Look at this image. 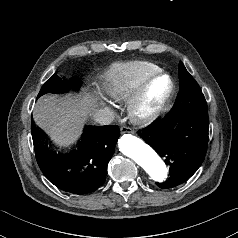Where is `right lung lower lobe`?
Returning <instances> with one entry per match:
<instances>
[{"instance_id":"right-lung-lower-lobe-1","label":"right lung lower lobe","mask_w":238,"mask_h":238,"mask_svg":"<svg viewBox=\"0 0 238 238\" xmlns=\"http://www.w3.org/2000/svg\"><path fill=\"white\" fill-rule=\"evenodd\" d=\"M31 133L37 163L45 177L60 190L80 195L97 190L105 182L120 135L116 125L91 127L78 150L62 153L44 145L42 133L33 123Z\"/></svg>"}]
</instances>
